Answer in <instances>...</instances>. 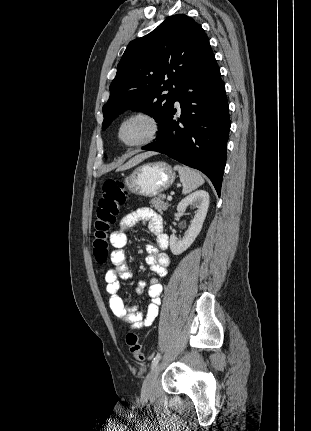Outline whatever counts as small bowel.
I'll return each instance as SVG.
<instances>
[{"label": "small bowel", "instance_id": "c3829d8e", "mask_svg": "<svg viewBox=\"0 0 311 431\" xmlns=\"http://www.w3.org/2000/svg\"><path fill=\"white\" fill-rule=\"evenodd\" d=\"M139 223H147L150 232L154 235L156 244L146 246V262L151 270L159 277H165L170 264L166 250L169 246V238L163 231L162 217L151 208H140L126 214L120 221L118 229L111 235L110 242L114 248L111 253V262L114 265L105 273L106 291L109 307L112 313L131 324L135 328H146L152 325L158 316L161 303L162 285L156 278L148 283V295L151 302L144 311H138L137 307L130 306L119 295L120 280H128L132 277L125 255L127 234L131 228ZM146 289V283L141 282L137 287V293L142 294Z\"/></svg>", "mask_w": 311, "mask_h": 431}]
</instances>
